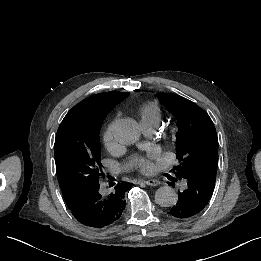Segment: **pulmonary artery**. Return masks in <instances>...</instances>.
Here are the masks:
<instances>
[{
	"mask_svg": "<svg viewBox=\"0 0 261 261\" xmlns=\"http://www.w3.org/2000/svg\"><path fill=\"white\" fill-rule=\"evenodd\" d=\"M142 127L147 132H153L156 126L152 124H142Z\"/></svg>",
	"mask_w": 261,
	"mask_h": 261,
	"instance_id": "obj_1",
	"label": "pulmonary artery"
}]
</instances>
